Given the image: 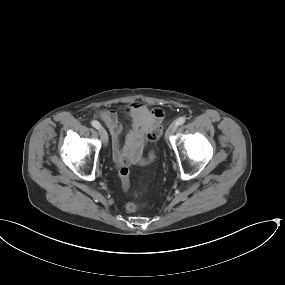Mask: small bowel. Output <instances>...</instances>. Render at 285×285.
Instances as JSON below:
<instances>
[{
    "label": "small bowel",
    "mask_w": 285,
    "mask_h": 285,
    "mask_svg": "<svg viewBox=\"0 0 285 285\" xmlns=\"http://www.w3.org/2000/svg\"><path fill=\"white\" fill-rule=\"evenodd\" d=\"M126 115L131 120V129L126 138L127 148L122 150L119 140L122 126L117 113L113 110H101L97 113V117L110 129L113 160L119 167L144 162L142 149L145 135L163 122L165 113L161 108L150 110L140 103H132L127 107Z\"/></svg>",
    "instance_id": "small-bowel-1"
}]
</instances>
